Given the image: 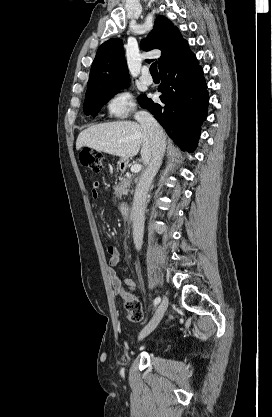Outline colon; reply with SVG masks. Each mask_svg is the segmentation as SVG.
Instances as JSON below:
<instances>
[{
	"label": "colon",
	"mask_w": 272,
	"mask_h": 417,
	"mask_svg": "<svg viewBox=\"0 0 272 417\" xmlns=\"http://www.w3.org/2000/svg\"><path fill=\"white\" fill-rule=\"evenodd\" d=\"M83 166L93 172H100L103 168V157L100 152L92 148H84L79 155ZM120 296L125 300V311L128 320L137 323L143 318L142 306L139 300L124 288L120 289Z\"/></svg>",
	"instance_id": "1"
}]
</instances>
